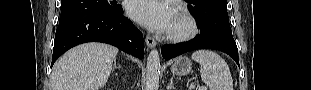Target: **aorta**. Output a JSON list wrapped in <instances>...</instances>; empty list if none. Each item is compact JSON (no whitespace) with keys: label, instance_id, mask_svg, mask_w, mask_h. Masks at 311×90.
<instances>
[{"label":"aorta","instance_id":"1","mask_svg":"<svg viewBox=\"0 0 311 90\" xmlns=\"http://www.w3.org/2000/svg\"><path fill=\"white\" fill-rule=\"evenodd\" d=\"M160 57L156 49L151 50L147 58L145 90L159 89Z\"/></svg>","mask_w":311,"mask_h":90}]
</instances>
